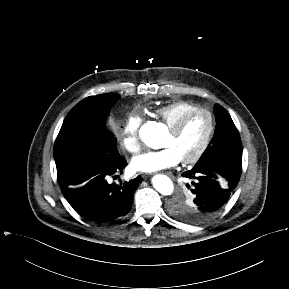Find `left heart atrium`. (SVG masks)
<instances>
[{
    "label": "left heart atrium",
    "mask_w": 289,
    "mask_h": 289,
    "mask_svg": "<svg viewBox=\"0 0 289 289\" xmlns=\"http://www.w3.org/2000/svg\"><path fill=\"white\" fill-rule=\"evenodd\" d=\"M181 161L177 152L171 147L147 151L132 159V168L139 172L152 173L176 166Z\"/></svg>",
    "instance_id": "1"
}]
</instances>
